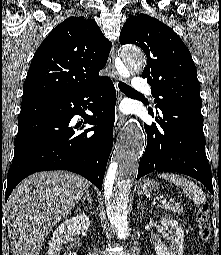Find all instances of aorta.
<instances>
[{
    "label": "aorta",
    "mask_w": 221,
    "mask_h": 255,
    "mask_svg": "<svg viewBox=\"0 0 221 255\" xmlns=\"http://www.w3.org/2000/svg\"><path fill=\"white\" fill-rule=\"evenodd\" d=\"M124 69L141 72L145 67V57L141 50L127 46L121 50ZM145 149V136L136 121H130L120 146L116 149L115 160L110 164L104 182V195L107 204V215L116 230L119 239L128 236L127 207L130 189L138 172V160Z\"/></svg>",
    "instance_id": "aorta-1"
}]
</instances>
